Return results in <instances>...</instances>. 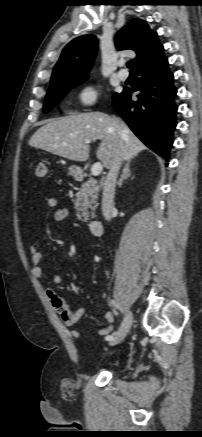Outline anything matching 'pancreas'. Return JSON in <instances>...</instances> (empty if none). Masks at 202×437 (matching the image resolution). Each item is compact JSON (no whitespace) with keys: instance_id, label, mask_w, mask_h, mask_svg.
Listing matches in <instances>:
<instances>
[{"instance_id":"1","label":"pancreas","mask_w":202,"mask_h":437,"mask_svg":"<svg viewBox=\"0 0 202 437\" xmlns=\"http://www.w3.org/2000/svg\"><path fill=\"white\" fill-rule=\"evenodd\" d=\"M99 190V185L92 178L81 185L74 202V208L76 209V215L79 220H83L84 222L89 220L88 209H91L92 214H94V210L97 207Z\"/></svg>"}]
</instances>
